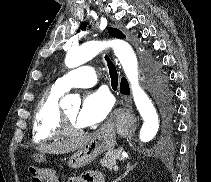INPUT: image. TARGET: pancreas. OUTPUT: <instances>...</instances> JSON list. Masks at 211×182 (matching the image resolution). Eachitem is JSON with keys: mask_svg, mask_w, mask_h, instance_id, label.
<instances>
[{"mask_svg": "<svg viewBox=\"0 0 211 182\" xmlns=\"http://www.w3.org/2000/svg\"><path fill=\"white\" fill-rule=\"evenodd\" d=\"M122 149H110L106 152L104 158L100 161L102 167L111 169L112 166L116 165L117 160H123L124 157L121 154Z\"/></svg>", "mask_w": 211, "mask_h": 182, "instance_id": "pancreas-1", "label": "pancreas"}]
</instances>
